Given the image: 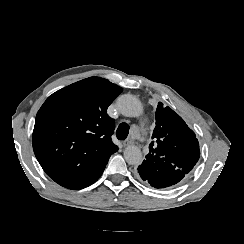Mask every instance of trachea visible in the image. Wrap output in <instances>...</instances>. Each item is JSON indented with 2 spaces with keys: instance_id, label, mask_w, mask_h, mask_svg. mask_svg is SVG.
<instances>
[{
  "instance_id": "obj_1",
  "label": "trachea",
  "mask_w": 244,
  "mask_h": 244,
  "mask_svg": "<svg viewBox=\"0 0 244 244\" xmlns=\"http://www.w3.org/2000/svg\"><path fill=\"white\" fill-rule=\"evenodd\" d=\"M128 133H129V126L126 123L120 124L116 130V136L120 140L126 139Z\"/></svg>"
}]
</instances>
